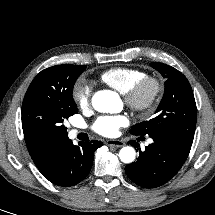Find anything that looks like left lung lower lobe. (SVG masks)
<instances>
[{
    "instance_id": "obj_1",
    "label": "left lung lower lobe",
    "mask_w": 215,
    "mask_h": 215,
    "mask_svg": "<svg viewBox=\"0 0 215 215\" xmlns=\"http://www.w3.org/2000/svg\"><path fill=\"white\" fill-rule=\"evenodd\" d=\"M151 138L154 142L145 147V151L139 148L137 160L125 167L129 179L144 188H155L168 182L182 167L191 149V145L168 135ZM129 143L138 148L134 140Z\"/></svg>"
}]
</instances>
